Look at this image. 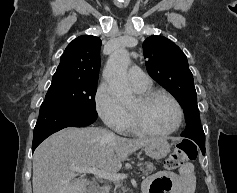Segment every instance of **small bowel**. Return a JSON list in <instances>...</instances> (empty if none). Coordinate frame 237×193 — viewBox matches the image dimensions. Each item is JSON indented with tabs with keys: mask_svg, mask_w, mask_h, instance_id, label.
<instances>
[{
	"mask_svg": "<svg viewBox=\"0 0 237 193\" xmlns=\"http://www.w3.org/2000/svg\"><path fill=\"white\" fill-rule=\"evenodd\" d=\"M144 193H197L195 166L186 163L177 173L159 171L143 181Z\"/></svg>",
	"mask_w": 237,
	"mask_h": 193,
	"instance_id": "c3829d8e",
	"label": "small bowel"
}]
</instances>
